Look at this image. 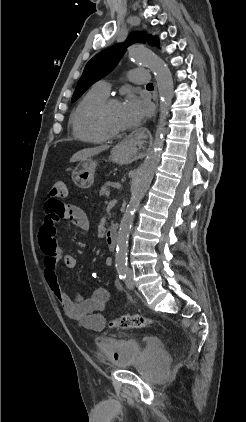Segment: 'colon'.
Instances as JSON below:
<instances>
[{"mask_svg": "<svg viewBox=\"0 0 246 422\" xmlns=\"http://www.w3.org/2000/svg\"><path fill=\"white\" fill-rule=\"evenodd\" d=\"M67 196V186L64 180H56L50 187L47 197V203L52 209L58 208L62 202L61 200ZM152 324V321L144 316L140 315H125L118 319L111 321L110 325L112 327L121 328V329H131V328H145ZM103 342V341H100Z\"/></svg>", "mask_w": 246, "mask_h": 422, "instance_id": "1", "label": "colon"}]
</instances>
